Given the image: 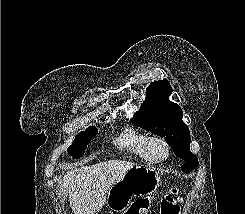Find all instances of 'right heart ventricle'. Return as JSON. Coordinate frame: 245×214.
Here are the masks:
<instances>
[{"mask_svg": "<svg viewBox=\"0 0 245 214\" xmlns=\"http://www.w3.org/2000/svg\"><path fill=\"white\" fill-rule=\"evenodd\" d=\"M149 136L134 128L125 129L116 139L115 144L122 150L135 155L143 161L149 162L146 143Z\"/></svg>", "mask_w": 245, "mask_h": 214, "instance_id": "e07e8e85", "label": "right heart ventricle"}]
</instances>
